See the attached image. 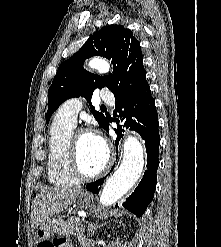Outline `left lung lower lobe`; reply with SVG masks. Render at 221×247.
<instances>
[{
    "label": "left lung lower lobe",
    "mask_w": 221,
    "mask_h": 247,
    "mask_svg": "<svg viewBox=\"0 0 221 247\" xmlns=\"http://www.w3.org/2000/svg\"><path fill=\"white\" fill-rule=\"evenodd\" d=\"M113 115L115 117L113 121L117 122V128L115 129L117 134L116 144H118L125 129L138 132L145 141L147 170L134 192L121 204L122 207L140 217L153 199L157 182L156 172L159 165L160 136L158 132V115L151 91L137 97L116 101ZM108 121L110 120L108 119ZM119 122H122L123 125H119ZM103 128L107 132L109 131L108 122ZM103 181L104 179H101L89 183L86 188L97 194ZM115 207H118V204Z\"/></svg>",
    "instance_id": "1"
}]
</instances>
